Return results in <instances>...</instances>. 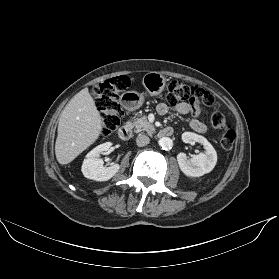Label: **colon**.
I'll return each instance as SVG.
<instances>
[{
  "mask_svg": "<svg viewBox=\"0 0 279 279\" xmlns=\"http://www.w3.org/2000/svg\"><path fill=\"white\" fill-rule=\"evenodd\" d=\"M130 85L126 76L111 78L99 84L95 90V102L102 119L101 133L110 135L120 124L119 97ZM166 100L171 105L189 102L198 113L201 108H213L210 121L213 127L220 130L219 142L223 149H232L236 134L227 124L225 114L218 110L215 97L207 90L180 81H172L167 86Z\"/></svg>",
  "mask_w": 279,
  "mask_h": 279,
  "instance_id": "5ec220e1",
  "label": "colon"
}]
</instances>
